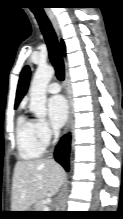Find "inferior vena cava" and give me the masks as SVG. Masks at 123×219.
<instances>
[{
    "label": "inferior vena cava",
    "mask_w": 123,
    "mask_h": 219,
    "mask_svg": "<svg viewBox=\"0 0 123 219\" xmlns=\"http://www.w3.org/2000/svg\"><path fill=\"white\" fill-rule=\"evenodd\" d=\"M58 137H59V130L58 129H54V143L56 142Z\"/></svg>",
    "instance_id": "602c4592"
}]
</instances>
